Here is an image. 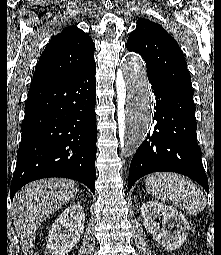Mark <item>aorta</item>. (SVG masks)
<instances>
[{
    "instance_id": "aorta-1",
    "label": "aorta",
    "mask_w": 221,
    "mask_h": 255,
    "mask_svg": "<svg viewBox=\"0 0 221 255\" xmlns=\"http://www.w3.org/2000/svg\"><path fill=\"white\" fill-rule=\"evenodd\" d=\"M118 103L122 107L121 147L126 156L135 154L152 120V98L145 64L136 54L127 55L117 77Z\"/></svg>"
}]
</instances>
